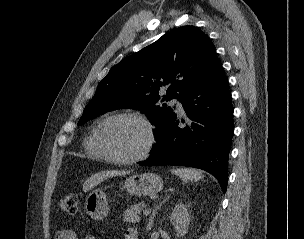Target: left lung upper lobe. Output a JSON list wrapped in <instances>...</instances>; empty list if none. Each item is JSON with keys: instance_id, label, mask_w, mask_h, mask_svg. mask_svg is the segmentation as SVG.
Segmentation results:
<instances>
[{"instance_id": "5c2ea615", "label": "left lung upper lobe", "mask_w": 304, "mask_h": 239, "mask_svg": "<svg viewBox=\"0 0 304 239\" xmlns=\"http://www.w3.org/2000/svg\"><path fill=\"white\" fill-rule=\"evenodd\" d=\"M216 57L208 36L194 26L176 28L113 66L98 84L78 125L108 111L132 108L148 113L156 139L175 116L163 100L180 102L207 72Z\"/></svg>"}]
</instances>
